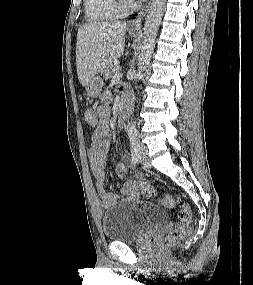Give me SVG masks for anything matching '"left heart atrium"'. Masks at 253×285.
Listing matches in <instances>:
<instances>
[{
  "mask_svg": "<svg viewBox=\"0 0 253 285\" xmlns=\"http://www.w3.org/2000/svg\"><path fill=\"white\" fill-rule=\"evenodd\" d=\"M135 1H138V0H131V2H135Z\"/></svg>",
  "mask_w": 253,
  "mask_h": 285,
  "instance_id": "39dd6f15",
  "label": "left heart atrium"
}]
</instances>
